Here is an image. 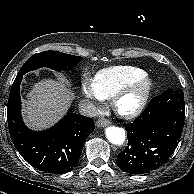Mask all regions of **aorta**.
I'll use <instances>...</instances> for the list:
<instances>
[{
    "instance_id": "obj_1",
    "label": "aorta",
    "mask_w": 194,
    "mask_h": 194,
    "mask_svg": "<svg viewBox=\"0 0 194 194\" xmlns=\"http://www.w3.org/2000/svg\"><path fill=\"white\" fill-rule=\"evenodd\" d=\"M107 139L114 145H122L125 142V130L116 126L105 129Z\"/></svg>"
}]
</instances>
